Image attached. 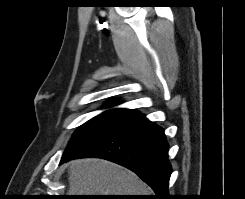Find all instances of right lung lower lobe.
I'll use <instances>...</instances> for the list:
<instances>
[{
	"label": "right lung lower lobe",
	"mask_w": 245,
	"mask_h": 199,
	"mask_svg": "<svg viewBox=\"0 0 245 199\" xmlns=\"http://www.w3.org/2000/svg\"><path fill=\"white\" fill-rule=\"evenodd\" d=\"M168 143L164 130L143 114L124 119L104 136L62 157L61 163L77 158H103L136 173L156 193L153 199H170Z\"/></svg>",
	"instance_id": "98d812e1"
}]
</instances>
